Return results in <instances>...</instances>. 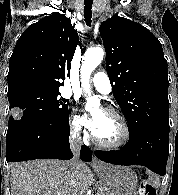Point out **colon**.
<instances>
[{"mask_svg": "<svg viewBox=\"0 0 178 195\" xmlns=\"http://www.w3.org/2000/svg\"><path fill=\"white\" fill-rule=\"evenodd\" d=\"M139 195H154V189L148 182H143L140 187Z\"/></svg>", "mask_w": 178, "mask_h": 195, "instance_id": "colon-1", "label": "colon"}]
</instances>
